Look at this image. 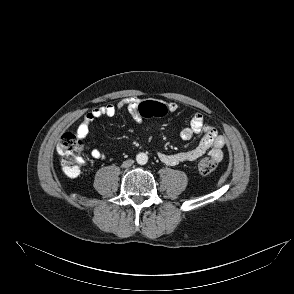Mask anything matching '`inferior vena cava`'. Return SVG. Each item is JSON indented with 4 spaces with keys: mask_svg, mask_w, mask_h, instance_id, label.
<instances>
[{
    "mask_svg": "<svg viewBox=\"0 0 294 294\" xmlns=\"http://www.w3.org/2000/svg\"><path fill=\"white\" fill-rule=\"evenodd\" d=\"M133 163H134V160H132V159H128V160H126V161H124V162L122 163V167H123V168H128V167L132 166Z\"/></svg>",
    "mask_w": 294,
    "mask_h": 294,
    "instance_id": "602c4592",
    "label": "inferior vena cava"
}]
</instances>
